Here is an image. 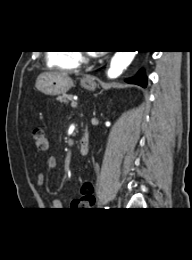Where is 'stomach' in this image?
<instances>
[{
	"mask_svg": "<svg viewBox=\"0 0 192 260\" xmlns=\"http://www.w3.org/2000/svg\"><path fill=\"white\" fill-rule=\"evenodd\" d=\"M73 86L72 79L61 73H43L36 80L38 91L49 96L65 94ZM81 86L89 91H94L97 83L94 78H83Z\"/></svg>",
	"mask_w": 192,
	"mask_h": 260,
	"instance_id": "0dacf381",
	"label": "stomach"
}]
</instances>
